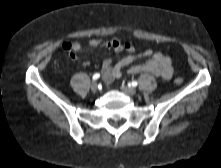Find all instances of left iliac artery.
Segmentation results:
<instances>
[{"label":"left iliac artery","instance_id":"obj_1","mask_svg":"<svg viewBox=\"0 0 221 168\" xmlns=\"http://www.w3.org/2000/svg\"><path fill=\"white\" fill-rule=\"evenodd\" d=\"M129 86L136 87L138 83L136 81H132L128 84Z\"/></svg>","mask_w":221,"mask_h":168}]
</instances>
